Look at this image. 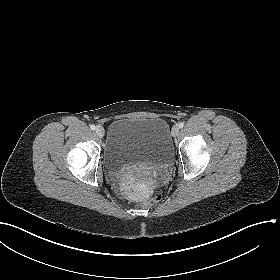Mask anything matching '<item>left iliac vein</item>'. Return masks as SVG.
<instances>
[{"instance_id":"left-iliac-vein-1","label":"left iliac vein","mask_w":280,"mask_h":280,"mask_svg":"<svg viewBox=\"0 0 280 280\" xmlns=\"http://www.w3.org/2000/svg\"><path fill=\"white\" fill-rule=\"evenodd\" d=\"M180 128L179 126L175 125L172 127L171 134L173 137H176L179 134Z\"/></svg>"}]
</instances>
